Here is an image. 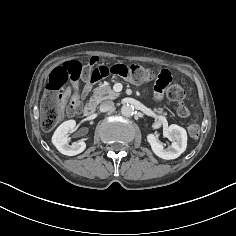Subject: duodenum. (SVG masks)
Masks as SVG:
<instances>
[{
    "label": "duodenum",
    "mask_w": 236,
    "mask_h": 236,
    "mask_svg": "<svg viewBox=\"0 0 236 236\" xmlns=\"http://www.w3.org/2000/svg\"><path fill=\"white\" fill-rule=\"evenodd\" d=\"M84 114L86 117H91L94 114V104L89 103L85 106Z\"/></svg>",
    "instance_id": "duodenum-1"
}]
</instances>
